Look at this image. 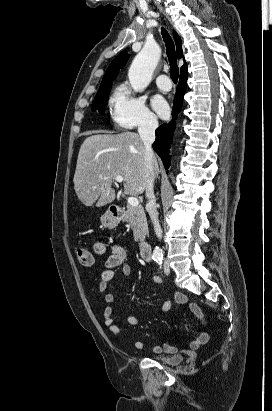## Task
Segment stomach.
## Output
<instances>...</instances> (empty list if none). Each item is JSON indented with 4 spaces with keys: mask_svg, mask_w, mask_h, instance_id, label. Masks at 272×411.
Masks as SVG:
<instances>
[{
    "mask_svg": "<svg viewBox=\"0 0 272 411\" xmlns=\"http://www.w3.org/2000/svg\"><path fill=\"white\" fill-rule=\"evenodd\" d=\"M101 223L104 227L112 229L115 228L120 222L119 218L114 217L111 213L106 212L100 218Z\"/></svg>",
    "mask_w": 272,
    "mask_h": 411,
    "instance_id": "obj_1",
    "label": "stomach"
}]
</instances>
